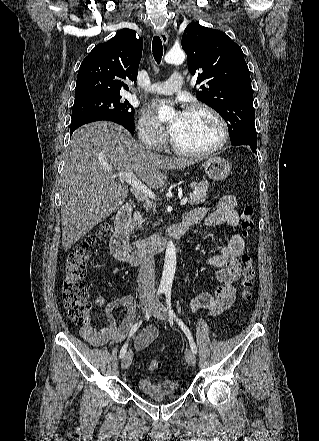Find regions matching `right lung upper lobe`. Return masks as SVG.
<instances>
[{
  "label": "right lung upper lobe",
  "instance_id": "1",
  "mask_svg": "<svg viewBox=\"0 0 319 441\" xmlns=\"http://www.w3.org/2000/svg\"><path fill=\"white\" fill-rule=\"evenodd\" d=\"M143 40L122 29L106 43L95 46L83 60L77 75L75 100L95 96H120L128 90L124 80H137Z\"/></svg>",
  "mask_w": 319,
  "mask_h": 441
}]
</instances>
